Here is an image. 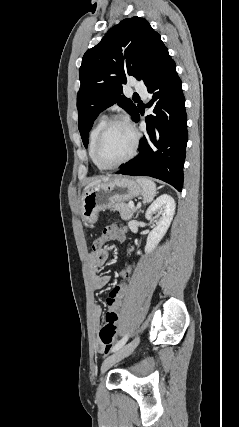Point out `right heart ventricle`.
Instances as JSON below:
<instances>
[{
  "mask_svg": "<svg viewBox=\"0 0 239 427\" xmlns=\"http://www.w3.org/2000/svg\"><path fill=\"white\" fill-rule=\"evenodd\" d=\"M106 122H107V118L105 116H101L98 119V121L95 123V125L92 127L89 133V146H88L89 156L98 170H104V169L101 168L94 159V154H93L94 144L100 130L102 129V127L105 125Z\"/></svg>",
  "mask_w": 239,
  "mask_h": 427,
  "instance_id": "obj_1",
  "label": "right heart ventricle"
}]
</instances>
